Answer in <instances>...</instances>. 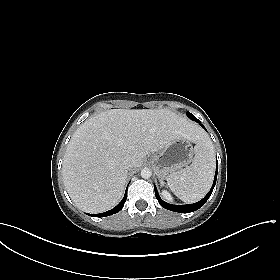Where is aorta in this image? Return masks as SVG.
I'll return each mask as SVG.
<instances>
[{"label":"aorta","mask_w":280,"mask_h":280,"mask_svg":"<svg viewBox=\"0 0 280 280\" xmlns=\"http://www.w3.org/2000/svg\"><path fill=\"white\" fill-rule=\"evenodd\" d=\"M152 175V171L149 169V168H143L141 170V177L144 178V179H148L150 178Z\"/></svg>","instance_id":"obj_1"}]
</instances>
